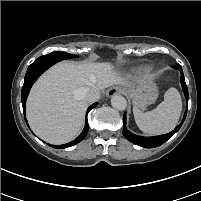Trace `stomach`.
I'll use <instances>...</instances> for the list:
<instances>
[{"label":"stomach","mask_w":201,"mask_h":201,"mask_svg":"<svg viewBox=\"0 0 201 201\" xmlns=\"http://www.w3.org/2000/svg\"><path fill=\"white\" fill-rule=\"evenodd\" d=\"M120 88L127 97L132 99L134 106L141 109L153 103L158 96L157 86L151 78H144L133 84H125Z\"/></svg>","instance_id":"0dacf381"}]
</instances>
